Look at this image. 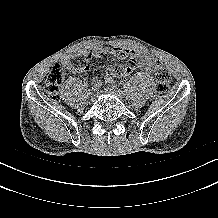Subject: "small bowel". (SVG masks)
<instances>
[{
	"label": "small bowel",
	"instance_id": "1",
	"mask_svg": "<svg viewBox=\"0 0 218 218\" xmlns=\"http://www.w3.org/2000/svg\"><path fill=\"white\" fill-rule=\"evenodd\" d=\"M106 53L111 54L118 60L127 59V62L123 65L124 73L120 77L130 75L136 67H139L147 72H152L155 69L156 59L151 53L145 51L137 52L133 49L119 46L113 47L111 49L99 47L94 49L72 52L64 56L62 62L71 71L76 72L82 70L84 72H90L92 70V62L98 58L103 57ZM81 56L85 58V64L81 69H79L72 64V60Z\"/></svg>",
	"mask_w": 218,
	"mask_h": 218
}]
</instances>
